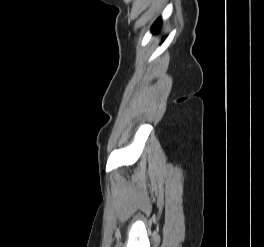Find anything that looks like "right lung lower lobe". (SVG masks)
Wrapping results in <instances>:
<instances>
[{
  "mask_svg": "<svg viewBox=\"0 0 264 247\" xmlns=\"http://www.w3.org/2000/svg\"><path fill=\"white\" fill-rule=\"evenodd\" d=\"M160 25H161V20L158 19V20L154 23V25L152 26V31H153V32H156V31L158 30V28L160 27Z\"/></svg>",
  "mask_w": 264,
  "mask_h": 247,
  "instance_id": "right-lung-lower-lobe-1",
  "label": "right lung lower lobe"
}]
</instances>
